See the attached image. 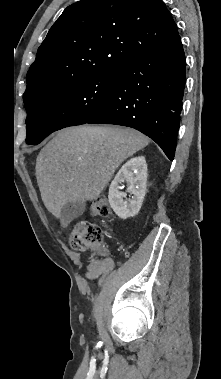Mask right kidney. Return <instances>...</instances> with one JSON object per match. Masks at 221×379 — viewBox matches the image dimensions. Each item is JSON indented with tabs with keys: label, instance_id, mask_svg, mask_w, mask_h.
I'll return each mask as SVG.
<instances>
[{
	"label": "right kidney",
	"instance_id": "ca27d5eb",
	"mask_svg": "<svg viewBox=\"0 0 221 379\" xmlns=\"http://www.w3.org/2000/svg\"><path fill=\"white\" fill-rule=\"evenodd\" d=\"M127 192L132 194L127 199L126 192H122L123 184ZM147 186V164L144 156L133 157L128 160L117 172L109 187V203L115 214L121 219L136 215L143 203Z\"/></svg>",
	"mask_w": 221,
	"mask_h": 379
}]
</instances>
